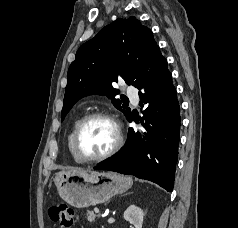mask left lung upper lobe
<instances>
[{"label": "left lung upper lobe", "instance_id": "5c2ea615", "mask_svg": "<svg viewBox=\"0 0 238 228\" xmlns=\"http://www.w3.org/2000/svg\"><path fill=\"white\" fill-rule=\"evenodd\" d=\"M157 48L151 30L135 17L119 18L105 26L81 45L69 67L61 121L80 98L92 94L112 99L114 106L128 119L131 110L122 105V97L115 99L119 90L112 83L124 79L137 87Z\"/></svg>", "mask_w": 238, "mask_h": 228}]
</instances>
